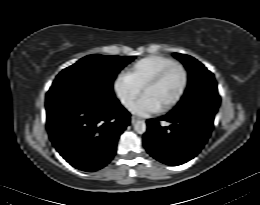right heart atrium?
<instances>
[{"label":"right heart atrium","instance_id":"1","mask_svg":"<svg viewBox=\"0 0 260 205\" xmlns=\"http://www.w3.org/2000/svg\"><path fill=\"white\" fill-rule=\"evenodd\" d=\"M114 91L120 101L129 106L139 95V89L133 86L126 77H118L114 82Z\"/></svg>","mask_w":260,"mask_h":205}]
</instances>
